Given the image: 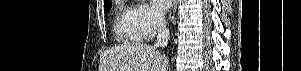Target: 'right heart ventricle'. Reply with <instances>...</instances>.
<instances>
[{"label":"right heart ventricle","instance_id":"right-heart-ventricle-1","mask_svg":"<svg viewBox=\"0 0 301 71\" xmlns=\"http://www.w3.org/2000/svg\"><path fill=\"white\" fill-rule=\"evenodd\" d=\"M114 29L116 37L122 42L139 43L143 39L135 23L132 8L123 4L118 7Z\"/></svg>","mask_w":301,"mask_h":71}]
</instances>
